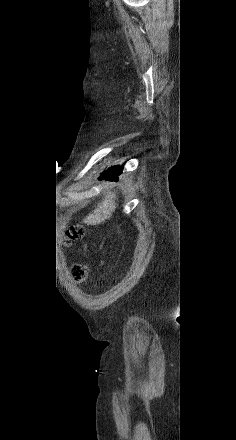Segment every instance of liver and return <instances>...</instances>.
Returning a JSON list of instances; mask_svg holds the SVG:
<instances>
[{"instance_id":"liver-1","label":"liver","mask_w":236,"mask_h":440,"mask_svg":"<svg viewBox=\"0 0 236 440\" xmlns=\"http://www.w3.org/2000/svg\"><path fill=\"white\" fill-rule=\"evenodd\" d=\"M115 200V192H106L102 202L98 203L94 211L84 218V223L88 225H97L109 219L116 209Z\"/></svg>"}]
</instances>
